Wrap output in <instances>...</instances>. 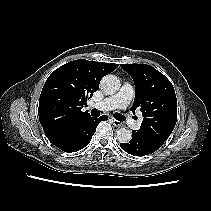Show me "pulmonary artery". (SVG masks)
Masks as SVG:
<instances>
[{"instance_id":"pulmonary-artery-1","label":"pulmonary artery","mask_w":211,"mask_h":211,"mask_svg":"<svg viewBox=\"0 0 211 211\" xmlns=\"http://www.w3.org/2000/svg\"><path fill=\"white\" fill-rule=\"evenodd\" d=\"M134 97V89L129 83H124L120 90L105 98L100 102L93 103L91 106L101 111H108L112 109H126ZM128 125L133 129H138L140 123L135 120H128Z\"/></svg>"}]
</instances>
